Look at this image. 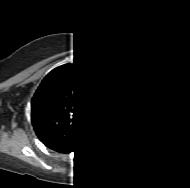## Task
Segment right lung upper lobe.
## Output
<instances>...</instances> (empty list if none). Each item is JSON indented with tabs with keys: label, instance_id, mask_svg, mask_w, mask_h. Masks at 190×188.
<instances>
[{
	"label": "right lung upper lobe",
	"instance_id": "obj_1",
	"mask_svg": "<svg viewBox=\"0 0 190 188\" xmlns=\"http://www.w3.org/2000/svg\"><path fill=\"white\" fill-rule=\"evenodd\" d=\"M91 72L89 68L62 65L52 70L38 87L31 105V119L39 139L50 149L76 145L92 129L72 91Z\"/></svg>",
	"mask_w": 190,
	"mask_h": 188
}]
</instances>
